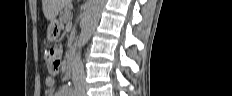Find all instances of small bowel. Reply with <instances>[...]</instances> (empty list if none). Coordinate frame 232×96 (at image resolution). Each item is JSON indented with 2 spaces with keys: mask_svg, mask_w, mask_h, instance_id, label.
<instances>
[{
  "mask_svg": "<svg viewBox=\"0 0 232 96\" xmlns=\"http://www.w3.org/2000/svg\"><path fill=\"white\" fill-rule=\"evenodd\" d=\"M46 82H47L48 85H52L53 84V79L49 78V79H47Z\"/></svg>",
  "mask_w": 232,
  "mask_h": 96,
  "instance_id": "c3829d8e",
  "label": "small bowel"
}]
</instances>
